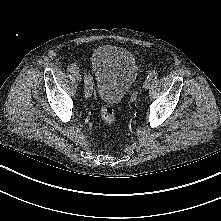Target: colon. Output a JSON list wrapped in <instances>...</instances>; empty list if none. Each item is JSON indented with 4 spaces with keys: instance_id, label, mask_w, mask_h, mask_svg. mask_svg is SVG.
<instances>
[{
    "instance_id": "colon-1",
    "label": "colon",
    "mask_w": 221,
    "mask_h": 221,
    "mask_svg": "<svg viewBox=\"0 0 221 221\" xmlns=\"http://www.w3.org/2000/svg\"><path fill=\"white\" fill-rule=\"evenodd\" d=\"M101 116L107 126H113L115 123V115L113 108L108 105L101 106Z\"/></svg>"
}]
</instances>
